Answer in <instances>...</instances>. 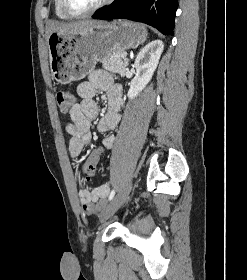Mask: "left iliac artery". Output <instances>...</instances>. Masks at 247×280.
<instances>
[{"mask_svg": "<svg viewBox=\"0 0 247 280\" xmlns=\"http://www.w3.org/2000/svg\"><path fill=\"white\" fill-rule=\"evenodd\" d=\"M115 195V189H113L109 195V200L111 201Z\"/></svg>", "mask_w": 247, "mask_h": 280, "instance_id": "44dca946", "label": "left iliac artery"}]
</instances>
